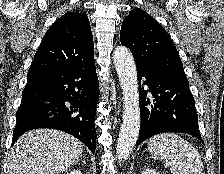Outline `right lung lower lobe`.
I'll list each match as a JSON object with an SVG mask.
<instances>
[{"label":"right lung lower lobe","mask_w":224,"mask_h":174,"mask_svg":"<svg viewBox=\"0 0 224 174\" xmlns=\"http://www.w3.org/2000/svg\"><path fill=\"white\" fill-rule=\"evenodd\" d=\"M99 83L95 61L28 78L17 111L12 145L26 131L52 128L96 149L95 114Z\"/></svg>","instance_id":"right-lung-lower-lobe-1"}]
</instances>
